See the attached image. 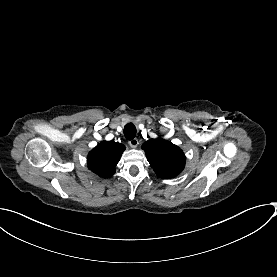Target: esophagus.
<instances>
[{"instance_id": "1", "label": "esophagus", "mask_w": 277, "mask_h": 277, "mask_svg": "<svg viewBox=\"0 0 277 277\" xmlns=\"http://www.w3.org/2000/svg\"><path fill=\"white\" fill-rule=\"evenodd\" d=\"M128 144H129L132 148H136V147L138 146L139 142H138V139L134 138V139L130 140V141L128 142Z\"/></svg>"}]
</instances>
